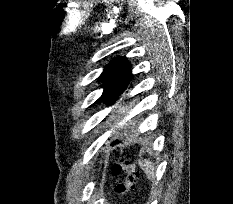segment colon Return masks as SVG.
<instances>
[{"label": "colon", "instance_id": "colon-1", "mask_svg": "<svg viewBox=\"0 0 233 204\" xmlns=\"http://www.w3.org/2000/svg\"><path fill=\"white\" fill-rule=\"evenodd\" d=\"M112 174L114 176L125 174V179L123 182L119 183L115 187L114 198L117 201L123 199L128 193L132 191L134 188L136 179H137V171L134 165L125 160H121L117 162L112 168Z\"/></svg>", "mask_w": 233, "mask_h": 204}]
</instances>
